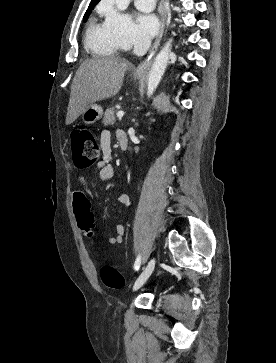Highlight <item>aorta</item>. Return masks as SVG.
I'll return each mask as SVG.
<instances>
[{"label":"aorta","mask_w":276,"mask_h":363,"mask_svg":"<svg viewBox=\"0 0 276 363\" xmlns=\"http://www.w3.org/2000/svg\"><path fill=\"white\" fill-rule=\"evenodd\" d=\"M130 1L131 0H115V5L119 10L123 11L128 8ZM171 43L172 39H170L164 45V47L160 50V52L157 54V56L154 59V62L152 64L148 76V83H147L148 97H150L156 90L168 65L169 54L172 46Z\"/></svg>","instance_id":"aorta-1"}]
</instances>
